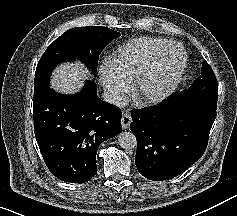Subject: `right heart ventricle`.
Here are the masks:
<instances>
[{
    "label": "right heart ventricle",
    "mask_w": 237,
    "mask_h": 216,
    "mask_svg": "<svg viewBox=\"0 0 237 216\" xmlns=\"http://www.w3.org/2000/svg\"><path fill=\"white\" fill-rule=\"evenodd\" d=\"M161 38H130L126 45L120 47L113 55L108 56L109 68L118 75L138 71L145 67L152 58L151 48L147 44H161Z\"/></svg>",
    "instance_id": "1"
}]
</instances>
